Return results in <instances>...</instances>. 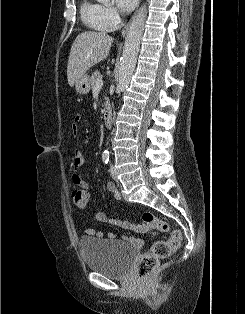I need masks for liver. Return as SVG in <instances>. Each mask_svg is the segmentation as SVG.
Instances as JSON below:
<instances>
[{"label":"liver","mask_w":245,"mask_h":314,"mask_svg":"<svg viewBox=\"0 0 245 314\" xmlns=\"http://www.w3.org/2000/svg\"><path fill=\"white\" fill-rule=\"evenodd\" d=\"M113 38L102 32L87 31L79 34L72 44L67 65L70 87L93 65L104 60L110 51Z\"/></svg>","instance_id":"6515ba94"}]
</instances>
